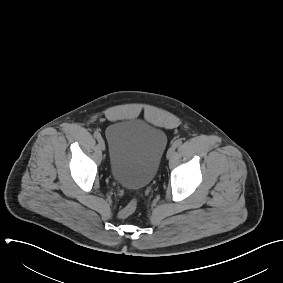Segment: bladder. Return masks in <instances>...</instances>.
I'll return each mask as SVG.
<instances>
[{
  "label": "bladder",
  "mask_w": 283,
  "mask_h": 283,
  "mask_svg": "<svg viewBox=\"0 0 283 283\" xmlns=\"http://www.w3.org/2000/svg\"><path fill=\"white\" fill-rule=\"evenodd\" d=\"M106 138L113 180L128 189L147 187L167 147L165 131L140 119L127 120L109 125Z\"/></svg>",
  "instance_id": "bladder-1"
}]
</instances>
